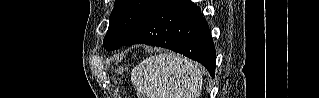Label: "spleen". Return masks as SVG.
Listing matches in <instances>:
<instances>
[{"label": "spleen", "mask_w": 319, "mask_h": 98, "mask_svg": "<svg viewBox=\"0 0 319 98\" xmlns=\"http://www.w3.org/2000/svg\"><path fill=\"white\" fill-rule=\"evenodd\" d=\"M131 80L146 98H198L203 83L197 64L171 52L144 59Z\"/></svg>", "instance_id": "obj_1"}]
</instances>
